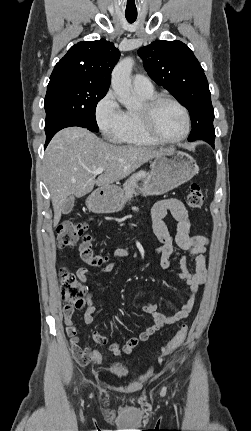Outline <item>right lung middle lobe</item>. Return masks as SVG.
Instances as JSON below:
<instances>
[{
    "label": "right lung middle lobe",
    "mask_w": 251,
    "mask_h": 431,
    "mask_svg": "<svg viewBox=\"0 0 251 431\" xmlns=\"http://www.w3.org/2000/svg\"><path fill=\"white\" fill-rule=\"evenodd\" d=\"M108 89L70 77L50 78L45 97V132L72 122L98 132L95 110Z\"/></svg>",
    "instance_id": "right-lung-middle-lobe-1"
}]
</instances>
